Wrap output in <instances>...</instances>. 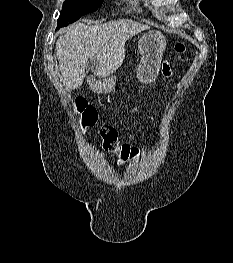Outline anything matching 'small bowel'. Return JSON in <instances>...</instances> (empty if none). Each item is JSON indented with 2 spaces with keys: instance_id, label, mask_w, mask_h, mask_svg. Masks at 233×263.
<instances>
[{
  "instance_id": "1",
  "label": "small bowel",
  "mask_w": 233,
  "mask_h": 263,
  "mask_svg": "<svg viewBox=\"0 0 233 263\" xmlns=\"http://www.w3.org/2000/svg\"><path fill=\"white\" fill-rule=\"evenodd\" d=\"M163 74L165 76H169L170 75V67L168 66V64H164L163 65V70H162Z\"/></svg>"
}]
</instances>
